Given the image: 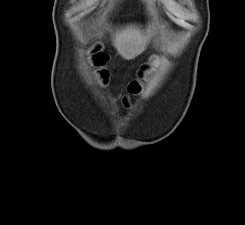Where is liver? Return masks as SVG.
<instances>
[{
    "instance_id": "1",
    "label": "liver",
    "mask_w": 245,
    "mask_h": 225,
    "mask_svg": "<svg viewBox=\"0 0 245 225\" xmlns=\"http://www.w3.org/2000/svg\"><path fill=\"white\" fill-rule=\"evenodd\" d=\"M149 41V32L145 35L138 27L127 26L112 36V43L118 54L124 59H132L141 53Z\"/></svg>"
}]
</instances>
